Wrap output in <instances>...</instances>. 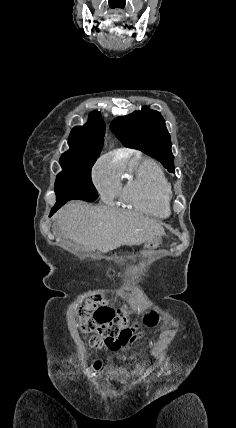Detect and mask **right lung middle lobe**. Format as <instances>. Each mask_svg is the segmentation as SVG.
Listing matches in <instances>:
<instances>
[{
  "label": "right lung middle lobe",
  "instance_id": "1",
  "mask_svg": "<svg viewBox=\"0 0 236 428\" xmlns=\"http://www.w3.org/2000/svg\"><path fill=\"white\" fill-rule=\"evenodd\" d=\"M93 164L62 165V172L56 176V204L53 209H59L69 200H84L93 202L98 193L91 180Z\"/></svg>",
  "mask_w": 236,
  "mask_h": 428
}]
</instances>
